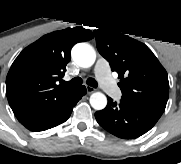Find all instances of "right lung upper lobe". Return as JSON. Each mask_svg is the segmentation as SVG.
Segmentation results:
<instances>
[{
	"instance_id": "obj_1",
	"label": "right lung upper lobe",
	"mask_w": 181,
	"mask_h": 164,
	"mask_svg": "<svg viewBox=\"0 0 181 164\" xmlns=\"http://www.w3.org/2000/svg\"><path fill=\"white\" fill-rule=\"evenodd\" d=\"M93 37L82 27L49 33L26 47L13 62L6 78V95L12 110L54 103L73 88L57 84L70 61L71 48Z\"/></svg>"
}]
</instances>
